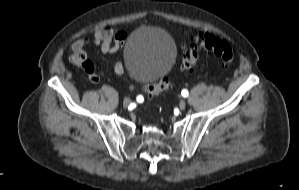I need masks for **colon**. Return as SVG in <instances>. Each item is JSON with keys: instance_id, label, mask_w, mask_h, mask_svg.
Returning <instances> with one entry per match:
<instances>
[{"instance_id": "colon-1", "label": "colon", "mask_w": 299, "mask_h": 190, "mask_svg": "<svg viewBox=\"0 0 299 190\" xmlns=\"http://www.w3.org/2000/svg\"><path fill=\"white\" fill-rule=\"evenodd\" d=\"M202 51L213 54L225 67H229L234 61V51L225 39L212 33H205L183 45V68L190 71L198 62ZM69 60L73 65L82 67L88 74L95 72L93 63L88 59L86 51L82 48L74 49ZM170 87L169 80L161 78L158 82L145 86L144 93L149 97H156L168 91Z\"/></svg>"}]
</instances>
